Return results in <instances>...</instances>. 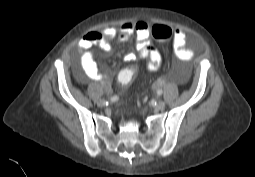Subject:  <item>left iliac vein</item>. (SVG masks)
I'll return each instance as SVG.
<instances>
[{"mask_svg":"<svg viewBox=\"0 0 255 177\" xmlns=\"http://www.w3.org/2000/svg\"><path fill=\"white\" fill-rule=\"evenodd\" d=\"M165 108V102L163 100H158L156 103L157 110H163Z\"/></svg>","mask_w":255,"mask_h":177,"instance_id":"left-iliac-vein-1","label":"left iliac vein"}]
</instances>
